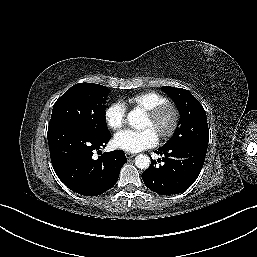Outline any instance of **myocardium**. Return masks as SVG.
Listing matches in <instances>:
<instances>
[{
	"mask_svg": "<svg viewBox=\"0 0 257 257\" xmlns=\"http://www.w3.org/2000/svg\"><path fill=\"white\" fill-rule=\"evenodd\" d=\"M145 113L153 124H157L167 115L170 117L169 126L158 135L160 139L170 138L175 133L180 119L179 109L175 104L167 101Z\"/></svg>",
	"mask_w": 257,
	"mask_h": 257,
	"instance_id": "f54148a6",
	"label": "myocardium"
}]
</instances>
